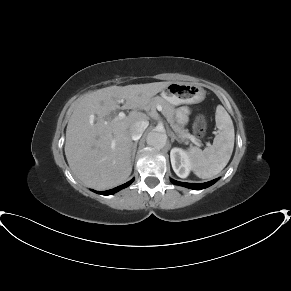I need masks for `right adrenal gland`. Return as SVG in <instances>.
Returning <instances> with one entry per match:
<instances>
[{
  "instance_id": "obj_1",
  "label": "right adrenal gland",
  "mask_w": 291,
  "mask_h": 291,
  "mask_svg": "<svg viewBox=\"0 0 291 291\" xmlns=\"http://www.w3.org/2000/svg\"><path fill=\"white\" fill-rule=\"evenodd\" d=\"M137 144H138V141L133 143L132 162L134 161V158H135V153H136V150H137Z\"/></svg>"
}]
</instances>
